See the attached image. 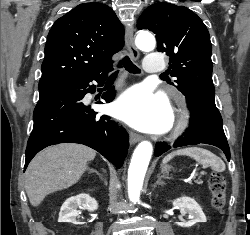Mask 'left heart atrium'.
<instances>
[{"instance_id":"39dd6f15","label":"left heart atrium","mask_w":250,"mask_h":235,"mask_svg":"<svg viewBox=\"0 0 250 235\" xmlns=\"http://www.w3.org/2000/svg\"><path fill=\"white\" fill-rule=\"evenodd\" d=\"M115 114L131 126L148 133H161L172 124V109L162 94L137 86L126 91L117 101Z\"/></svg>"}]
</instances>
